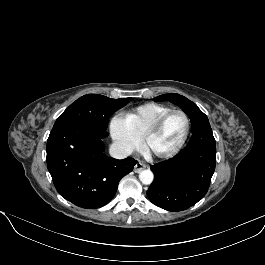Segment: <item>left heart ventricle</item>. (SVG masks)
Wrapping results in <instances>:
<instances>
[{
	"label": "left heart ventricle",
	"instance_id": "obj_1",
	"mask_svg": "<svg viewBox=\"0 0 265 265\" xmlns=\"http://www.w3.org/2000/svg\"><path fill=\"white\" fill-rule=\"evenodd\" d=\"M186 121L183 116L173 114L163 123L159 132L150 140L149 150L161 152L175 147L183 138Z\"/></svg>",
	"mask_w": 265,
	"mask_h": 265
}]
</instances>
